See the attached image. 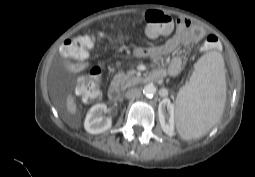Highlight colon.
Returning a JSON list of instances; mask_svg holds the SVG:
<instances>
[{"label": "colon", "mask_w": 255, "mask_h": 177, "mask_svg": "<svg viewBox=\"0 0 255 177\" xmlns=\"http://www.w3.org/2000/svg\"><path fill=\"white\" fill-rule=\"evenodd\" d=\"M144 22L145 32L150 37H157L170 31L173 24L172 18L159 10H148L144 15ZM96 38V34L82 33L63 43L60 52L67 60L69 70L80 72L86 68L87 58ZM216 41L217 38L214 35H208L205 46L208 48L215 47L213 42ZM100 76V69L94 67L79 78L76 91L85 102H95L99 99Z\"/></svg>", "instance_id": "colon-1"}]
</instances>
